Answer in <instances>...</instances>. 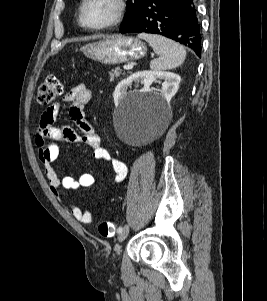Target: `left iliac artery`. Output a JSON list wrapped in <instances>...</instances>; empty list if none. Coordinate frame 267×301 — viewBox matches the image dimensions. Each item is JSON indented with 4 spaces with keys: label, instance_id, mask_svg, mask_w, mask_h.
Listing matches in <instances>:
<instances>
[{
    "label": "left iliac artery",
    "instance_id": "44dca946",
    "mask_svg": "<svg viewBox=\"0 0 267 301\" xmlns=\"http://www.w3.org/2000/svg\"><path fill=\"white\" fill-rule=\"evenodd\" d=\"M122 229H123L122 227H119V228L117 229V232L120 233V232L122 231Z\"/></svg>",
    "mask_w": 267,
    "mask_h": 301
}]
</instances>
